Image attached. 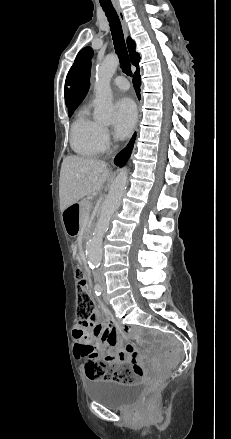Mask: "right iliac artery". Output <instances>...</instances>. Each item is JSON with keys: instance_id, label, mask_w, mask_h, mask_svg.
Masks as SVG:
<instances>
[{"instance_id": "obj_1", "label": "right iliac artery", "mask_w": 231, "mask_h": 439, "mask_svg": "<svg viewBox=\"0 0 231 439\" xmlns=\"http://www.w3.org/2000/svg\"><path fill=\"white\" fill-rule=\"evenodd\" d=\"M96 295H100L102 293V287L99 284H96L94 287Z\"/></svg>"}]
</instances>
